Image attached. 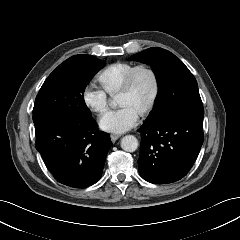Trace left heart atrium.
Instances as JSON below:
<instances>
[{"mask_svg":"<svg viewBox=\"0 0 240 240\" xmlns=\"http://www.w3.org/2000/svg\"><path fill=\"white\" fill-rule=\"evenodd\" d=\"M138 114L127 106L106 112L99 120V126L103 131L113 134H121L136 125Z\"/></svg>","mask_w":240,"mask_h":240,"instance_id":"left-heart-atrium-1","label":"left heart atrium"}]
</instances>
